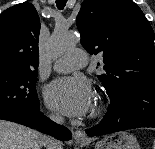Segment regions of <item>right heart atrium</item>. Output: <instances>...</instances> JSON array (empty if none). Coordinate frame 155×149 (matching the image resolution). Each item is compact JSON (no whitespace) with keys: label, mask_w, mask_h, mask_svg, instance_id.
<instances>
[{"label":"right heart atrium","mask_w":155,"mask_h":149,"mask_svg":"<svg viewBox=\"0 0 155 149\" xmlns=\"http://www.w3.org/2000/svg\"><path fill=\"white\" fill-rule=\"evenodd\" d=\"M50 118L54 121H57V122L61 121V117L57 114H51Z\"/></svg>","instance_id":"d8ad5b80"}]
</instances>
